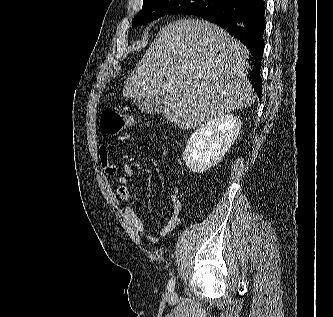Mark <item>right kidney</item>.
Returning <instances> with one entry per match:
<instances>
[{
	"instance_id": "1",
	"label": "right kidney",
	"mask_w": 333,
	"mask_h": 317,
	"mask_svg": "<svg viewBox=\"0 0 333 317\" xmlns=\"http://www.w3.org/2000/svg\"><path fill=\"white\" fill-rule=\"evenodd\" d=\"M241 124L237 115L223 114L197 128L183 152L188 169L203 173L217 164L236 140Z\"/></svg>"
}]
</instances>
